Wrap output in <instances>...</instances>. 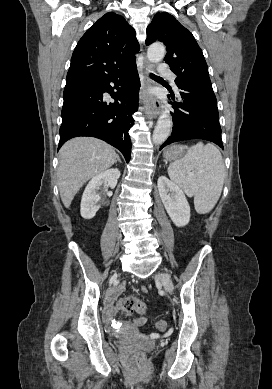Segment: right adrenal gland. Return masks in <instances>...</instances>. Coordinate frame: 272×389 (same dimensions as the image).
Here are the masks:
<instances>
[{
    "instance_id": "obj_1",
    "label": "right adrenal gland",
    "mask_w": 272,
    "mask_h": 389,
    "mask_svg": "<svg viewBox=\"0 0 272 389\" xmlns=\"http://www.w3.org/2000/svg\"><path fill=\"white\" fill-rule=\"evenodd\" d=\"M117 161L121 163V160H120L119 156H117L116 162Z\"/></svg>"
}]
</instances>
